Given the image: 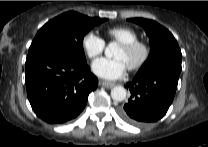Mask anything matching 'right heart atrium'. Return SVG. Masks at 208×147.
<instances>
[{"label":"right heart atrium","instance_id":"1","mask_svg":"<svg viewBox=\"0 0 208 147\" xmlns=\"http://www.w3.org/2000/svg\"><path fill=\"white\" fill-rule=\"evenodd\" d=\"M105 45L104 39L94 32L86 33L82 39L83 50L90 59H95L101 55Z\"/></svg>","mask_w":208,"mask_h":147}]
</instances>
